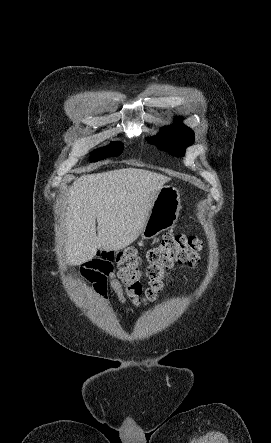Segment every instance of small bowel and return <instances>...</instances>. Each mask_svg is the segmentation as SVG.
I'll return each instance as SVG.
<instances>
[{"instance_id":"obj_1","label":"small bowel","mask_w":271,"mask_h":443,"mask_svg":"<svg viewBox=\"0 0 271 443\" xmlns=\"http://www.w3.org/2000/svg\"><path fill=\"white\" fill-rule=\"evenodd\" d=\"M80 275L93 284L94 290L100 298L105 297L109 284L118 293L120 300L125 301L123 289L111 264L103 263L97 259L89 260L80 267Z\"/></svg>"}]
</instances>
